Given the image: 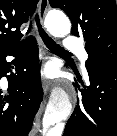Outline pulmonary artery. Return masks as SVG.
I'll use <instances>...</instances> for the list:
<instances>
[{
	"label": "pulmonary artery",
	"mask_w": 117,
	"mask_h": 136,
	"mask_svg": "<svg viewBox=\"0 0 117 136\" xmlns=\"http://www.w3.org/2000/svg\"><path fill=\"white\" fill-rule=\"evenodd\" d=\"M65 47L68 51L76 52L79 55L83 64L88 59L87 52L83 48L80 40H78L77 38L72 37V36H68L65 41Z\"/></svg>",
	"instance_id": "obj_1"
}]
</instances>
